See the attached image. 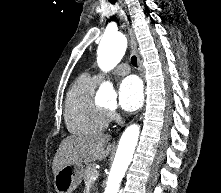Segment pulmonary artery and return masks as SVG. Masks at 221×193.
Masks as SVG:
<instances>
[{"mask_svg":"<svg viewBox=\"0 0 221 193\" xmlns=\"http://www.w3.org/2000/svg\"><path fill=\"white\" fill-rule=\"evenodd\" d=\"M114 72L119 75H126L130 72V67L128 64H121L115 69ZM103 78L104 74L102 73H98L94 76V80H96L97 82L101 81Z\"/></svg>","mask_w":221,"mask_h":193,"instance_id":"pulmonary-artery-1","label":"pulmonary artery"}]
</instances>
